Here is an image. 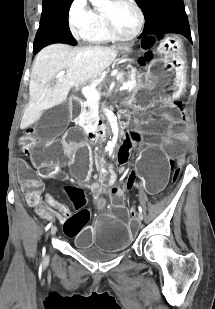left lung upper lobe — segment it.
<instances>
[{"label":"left lung upper lobe","mask_w":215,"mask_h":309,"mask_svg":"<svg viewBox=\"0 0 215 309\" xmlns=\"http://www.w3.org/2000/svg\"><path fill=\"white\" fill-rule=\"evenodd\" d=\"M146 23L140 37L154 33H178L191 43L190 27L183 0H136Z\"/></svg>","instance_id":"1"}]
</instances>
